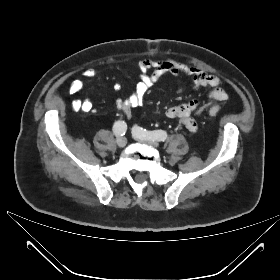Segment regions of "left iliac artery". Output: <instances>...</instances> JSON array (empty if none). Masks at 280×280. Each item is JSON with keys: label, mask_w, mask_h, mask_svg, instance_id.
Segmentation results:
<instances>
[{"label": "left iliac artery", "mask_w": 280, "mask_h": 280, "mask_svg": "<svg viewBox=\"0 0 280 280\" xmlns=\"http://www.w3.org/2000/svg\"><path fill=\"white\" fill-rule=\"evenodd\" d=\"M133 132L141 138L154 139L157 141H165L168 137L167 133L163 130L147 131L139 126H134Z\"/></svg>", "instance_id": "44dca946"}]
</instances>
